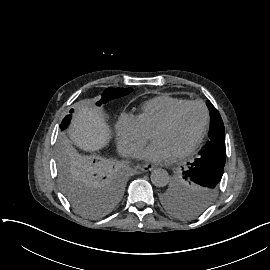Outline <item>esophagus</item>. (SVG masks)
Instances as JSON below:
<instances>
[{
	"label": "esophagus",
	"mask_w": 270,
	"mask_h": 270,
	"mask_svg": "<svg viewBox=\"0 0 270 270\" xmlns=\"http://www.w3.org/2000/svg\"><path fill=\"white\" fill-rule=\"evenodd\" d=\"M153 168H154L153 164L148 163V164L143 165V166L141 167V170H142L143 172H149V171L153 170Z\"/></svg>",
	"instance_id": "1"
}]
</instances>
